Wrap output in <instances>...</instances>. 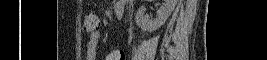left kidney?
I'll return each instance as SVG.
<instances>
[{"mask_svg": "<svg viewBox=\"0 0 267 60\" xmlns=\"http://www.w3.org/2000/svg\"><path fill=\"white\" fill-rule=\"evenodd\" d=\"M178 0H163L162 6L157 11V17L152 19L143 7L139 8L136 13L137 25L145 31H155L159 29L169 18L175 9Z\"/></svg>", "mask_w": 267, "mask_h": 60, "instance_id": "left-kidney-1", "label": "left kidney"}]
</instances>
